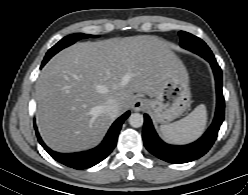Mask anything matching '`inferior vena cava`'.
<instances>
[{
	"instance_id": "1",
	"label": "inferior vena cava",
	"mask_w": 248,
	"mask_h": 195,
	"mask_svg": "<svg viewBox=\"0 0 248 195\" xmlns=\"http://www.w3.org/2000/svg\"><path fill=\"white\" fill-rule=\"evenodd\" d=\"M103 111L107 116L117 117L119 111L118 102L115 99H109L103 105Z\"/></svg>"
}]
</instances>
